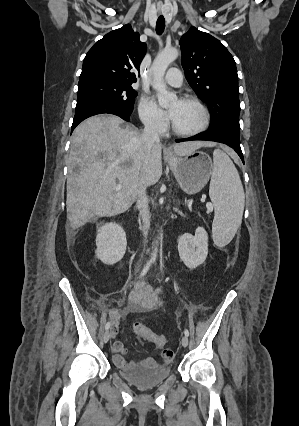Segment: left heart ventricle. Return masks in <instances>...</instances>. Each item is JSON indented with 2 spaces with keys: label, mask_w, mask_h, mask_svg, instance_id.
<instances>
[{
  "label": "left heart ventricle",
  "mask_w": 299,
  "mask_h": 426,
  "mask_svg": "<svg viewBox=\"0 0 299 426\" xmlns=\"http://www.w3.org/2000/svg\"><path fill=\"white\" fill-rule=\"evenodd\" d=\"M169 108L175 109L172 121L180 130H193L202 122V113L194 103L174 100Z\"/></svg>",
  "instance_id": "1"
}]
</instances>
